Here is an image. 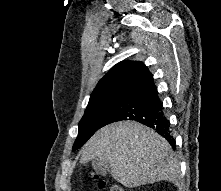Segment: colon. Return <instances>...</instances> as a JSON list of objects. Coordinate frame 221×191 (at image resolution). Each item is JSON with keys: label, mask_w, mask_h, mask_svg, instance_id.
Instances as JSON below:
<instances>
[{"label": "colon", "mask_w": 221, "mask_h": 191, "mask_svg": "<svg viewBox=\"0 0 221 191\" xmlns=\"http://www.w3.org/2000/svg\"><path fill=\"white\" fill-rule=\"evenodd\" d=\"M95 179H97V176H94ZM98 186L100 189H107V191H126L122 187L116 185V184H110L108 185L105 181L99 180L98 181Z\"/></svg>", "instance_id": "obj_1"}]
</instances>
